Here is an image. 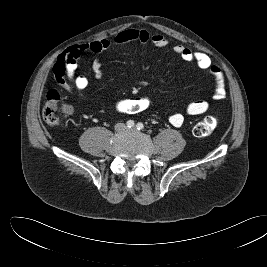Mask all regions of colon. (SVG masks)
I'll list each match as a JSON object with an SVG mask.
<instances>
[{
  "instance_id": "obj_1",
  "label": "colon",
  "mask_w": 267,
  "mask_h": 267,
  "mask_svg": "<svg viewBox=\"0 0 267 267\" xmlns=\"http://www.w3.org/2000/svg\"><path fill=\"white\" fill-rule=\"evenodd\" d=\"M150 104L151 102L147 97H129L119 100L116 103V109L122 113L134 114L147 110ZM67 112L68 109L63 105L59 92L56 90L49 91L42 112L46 123L51 126L60 125ZM217 123V118L213 116L205 117L194 126L193 132L197 137L208 136L214 131Z\"/></svg>"
}]
</instances>
